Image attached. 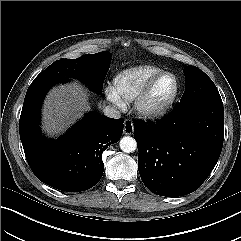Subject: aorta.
Masks as SVG:
<instances>
[{"label":"aorta","mask_w":241,"mask_h":241,"mask_svg":"<svg viewBox=\"0 0 241 241\" xmlns=\"http://www.w3.org/2000/svg\"><path fill=\"white\" fill-rule=\"evenodd\" d=\"M120 149L125 153L134 152L137 149V142L133 137L125 136L120 142Z\"/></svg>","instance_id":"1"}]
</instances>
